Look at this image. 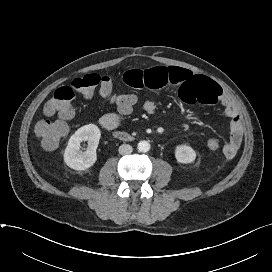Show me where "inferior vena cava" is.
<instances>
[{
	"label": "inferior vena cava",
	"mask_w": 272,
	"mask_h": 272,
	"mask_svg": "<svg viewBox=\"0 0 272 272\" xmlns=\"http://www.w3.org/2000/svg\"><path fill=\"white\" fill-rule=\"evenodd\" d=\"M132 151H133V148H132V146L129 145V144H122V145L119 147V153H120L121 155L130 154Z\"/></svg>",
	"instance_id": "inferior-vena-cava-1"
}]
</instances>
